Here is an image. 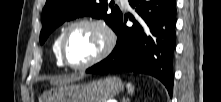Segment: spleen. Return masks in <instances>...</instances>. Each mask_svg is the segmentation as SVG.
Listing matches in <instances>:
<instances>
[{"instance_id":"1","label":"spleen","mask_w":221,"mask_h":102,"mask_svg":"<svg viewBox=\"0 0 221 102\" xmlns=\"http://www.w3.org/2000/svg\"><path fill=\"white\" fill-rule=\"evenodd\" d=\"M126 88L128 90V93H130V94L134 93V87L131 83H127Z\"/></svg>"}]
</instances>
